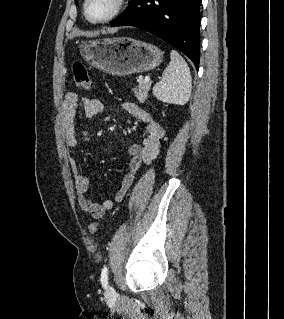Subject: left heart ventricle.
Listing matches in <instances>:
<instances>
[{
    "mask_svg": "<svg viewBox=\"0 0 284 319\" xmlns=\"http://www.w3.org/2000/svg\"><path fill=\"white\" fill-rule=\"evenodd\" d=\"M115 0H90L88 14L94 20L105 18L112 11Z\"/></svg>",
    "mask_w": 284,
    "mask_h": 319,
    "instance_id": "left-heart-ventricle-1",
    "label": "left heart ventricle"
}]
</instances>
